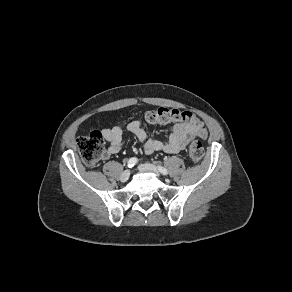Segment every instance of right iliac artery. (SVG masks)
Here are the masks:
<instances>
[{"label": "right iliac artery", "mask_w": 292, "mask_h": 292, "mask_svg": "<svg viewBox=\"0 0 292 292\" xmlns=\"http://www.w3.org/2000/svg\"><path fill=\"white\" fill-rule=\"evenodd\" d=\"M138 162V159L136 157H132L128 160L127 162V167L132 168L133 166H135Z\"/></svg>", "instance_id": "82829eb1"}]
</instances>
